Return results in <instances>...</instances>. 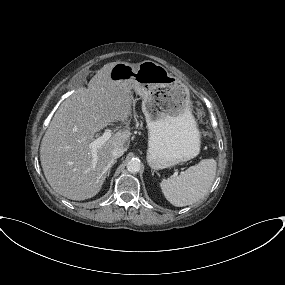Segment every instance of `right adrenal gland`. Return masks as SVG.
<instances>
[{"instance_id":"obj_1","label":"right adrenal gland","mask_w":285,"mask_h":285,"mask_svg":"<svg viewBox=\"0 0 285 285\" xmlns=\"http://www.w3.org/2000/svg\"><path fill=\"white\" fill-rule=\"evenodd\" d=\"M115 163H116V160H113L112 165L109 167V169H108V171H107L106 177H109L111 168H112V166H113Z\"/></svg>"}]
</instances>
